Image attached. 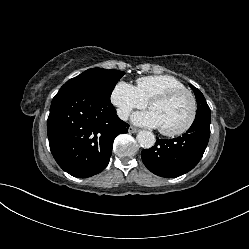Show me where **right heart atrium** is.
<instances>
[{
    "instance_id": "1",
    "label": "right heart atrium",
    "mask_w": 249,
    "mask_h": 249,
    "mask_svg": "<svg viewBox=\"0 0 249 249\" xmlns=\"http://www.w3.org/2000/svg\"><path fill=\"white\" fill-rule=\"evenodd\" d=\"M110 99L122 119L128 118L132 110L141 109L147 105L136 87L125 81H119L115 84Z\"/></svg>"
}]
</instances>
